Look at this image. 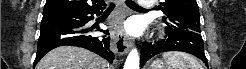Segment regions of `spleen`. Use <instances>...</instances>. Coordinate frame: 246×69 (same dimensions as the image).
<instances>
[{
    "label": "spleen",
    "mask_w": 246,
    "mask_h": 69,
    "mask_svg": "<svg viewBox=\"0 0 246 69\" xmlns=\"http://www.w3.org/2000/svg\"><path fill=\"white\" fill-rule=\"evenodd\" d=\"M164 59L170 69H202L200 63L191 55L182 52H166Z\"/></svg>",
    "instance_id": "spleen-1"
}]
</instances>
